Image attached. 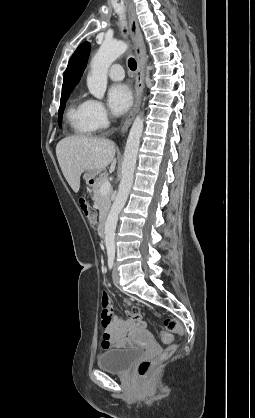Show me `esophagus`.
Wrapping results in <instances>:
<instances>
[{
    "label": "esophagus",
    "mask_w": 255,
    "mask_h": 418,
    "mask_svg": "<svg viewBox=\"0 0 255 418\" xmlns=\"http://www.w3.org/2000/svg\"><path fill=\"white\" fill-rule=\"evenodd\" d=\"M129 28H130V35L134 45V50L137 59V71H136V78H135V100L134 105L128 116L126 117L122 128H121V135L124 136L126 131L128 130L132 120L134 119L135 114L138 112L143 90H144V65H145V46L143 42V38L139 29L138 20L135 14V10L132 5H129Z\"/></svg>",
    "instance_id": "obj_1"
}]
</instances>
